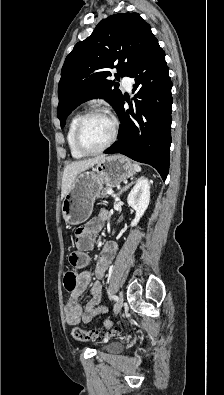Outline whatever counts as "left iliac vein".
<instances>
[{
	"mask_svg": "<svg viewBox=\"0 0 224 395\" xmlns=\"http://www.w3.org/2000/svg\"><path fill=\"white\" fill-rule=\"evenodd\" d=\"M123 302H124L123 292L120 291L119 295H118V300H117V302L115 304V307H114V312L115 313H118L121 310V308L123 306Z\"/></svg>",
	"mask_w": 224,
	"mask_h": 395,
	"instance_id": "left-iliac-vein-1",
	"label": "left iliac vein"
}]
</instances>
